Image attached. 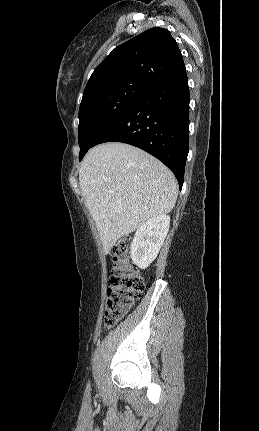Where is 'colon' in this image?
<instances>
[{
  "mask_svg": "<svg viewBox=\"0 0 259 431\" xmlns=\"http://www.w3.org/2000/svg\"><path fill=\"white\" fill-rule=\"evenodd\" d=\"M130 238L120 239L111 249L112 269L107 289L104 325L114 326L140 299L144 289V278L130 262Z\"/></svg>",
  "mask_w": 259,
  "mask_h": 431,
  "instance_id": "5ec220e1",
  "label": "colon"
}]
</instances>
